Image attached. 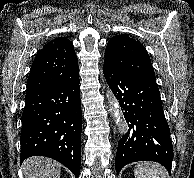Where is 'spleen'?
<instances>
[{"mask_svg":"<svg viewBox=\"0 0 194 178\" xmlns=\"http://www.w3.org/2000/svg\"><path fill=\"white\" fill-rule=\"evenodd\" d=\"M135 178H168L167 172L161 165L152 162H140L134 168Z\"/></svg>","mask_w":194,"mask_h":178,"instance_id":"spleen-1","label":"spleen"}]
</instances>
